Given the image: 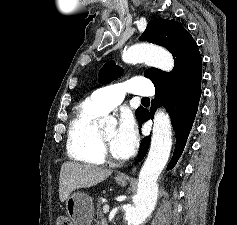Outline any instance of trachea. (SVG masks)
I'll return each mask as SVG.
<instances>
[{
	"instance_id": "obj_1",
	"label": "trachea",
	"mask_w": 237,
	"mask_h": 225,
	"mask_svg": "<svg viewBox=\"0 0 237 225\" xmlns=\"http://www.w3.org/2000/svg\"><path fill=\"white\" fill-rule=\"evenodd\" d=\"M142 101L143 102H150L149 98H143Z\"/></svg>"
}]
</instances>
